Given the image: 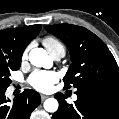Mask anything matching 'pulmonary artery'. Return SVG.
I'll list each match as a JSON object with an SVG mask.
<instances>
[{
  "mask_svg": "<svg viewBox=\"0 0 119 119\" xmlns=\"http://www.w3.org/2000/svg\"><path fill=\"white\" fill-rule=\"evenodd\" d=\"M51 55L55 60L59 61L65 56V50L62 48H59L53 51ZM73 98L76 99L77 98L76 95H74Z\"/></svg>",
  "mask_w": 119,
  "mask_h": 119,
  "instance_id": "obj_1",
  "label": "pulmonary artery"
}]
</instances>
